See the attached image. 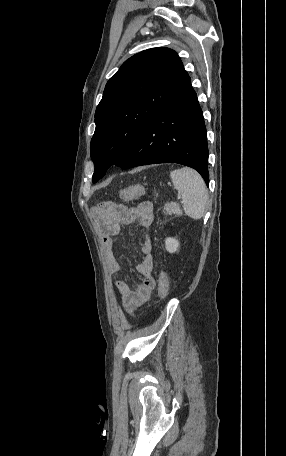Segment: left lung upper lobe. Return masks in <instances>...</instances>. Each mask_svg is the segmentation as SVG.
<instances>
[{"instance_id":"1","label":"left lung upper lobe","mask_w":286,"mask_h":456,"mask_svg":"<svg viewBox=\"0 0 286 456\" xmlns=\"http://www.w3.org/2000/svg\"><path fill=\"white\" fill-rule=\"evenodd\" d=\"M187 75L180 57L169 48L142 51L122 64L107 82L95 112L90 154L95 164L93 183L111 165L121 166L141 132Z\"/></svg>"}]
</instances>
